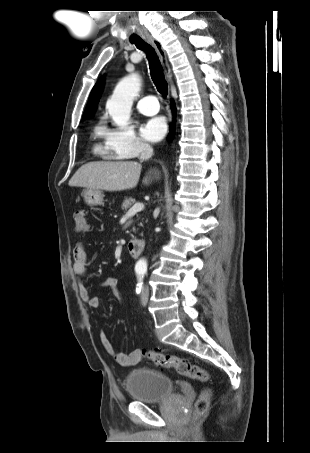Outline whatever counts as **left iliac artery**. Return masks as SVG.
<instances>
[{"instance_id": "left-iliac-artery-1", "label": "left iliac artery", "mask_w": 310, "mask_h": 453, "mask_svg": "<svg viewBox=\"0 0 310 453\" xmlns=\"http://www.w3.org/2000/svg\"><path fill=\"white\" fill-rule=\"evenodd\" d=\"M142 278H143V273H142ZM142 278H141V276H140V278H139V283L137 284V288H136V292H137V293H140V292H141L142 284H143V283H142Z\"/></svg>"}]
</instances>
